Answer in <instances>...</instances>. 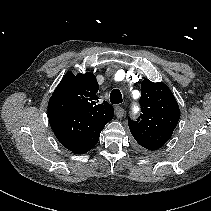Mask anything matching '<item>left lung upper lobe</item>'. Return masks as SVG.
Wrapping results in <instances>:
<instances>
[{"mask_svg": "<svg viewBox=\"0 0 211 211\" xmlns=\"http://www.w3.org/2000/svg\"><path fill=\"white\" fill-rule=\"evenodd\" d=\"M140 105L142 114L136 121L128 119L129 129L140 146L157 150L170 139L178 124V103L164 83L145 79L141 83Z\"/></svg>", "mask_w": 211, "mask_h": 211, "instance_id": "5c2ea615", "label": "left lung upper lobe"}]
</instances>
